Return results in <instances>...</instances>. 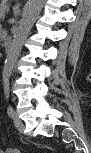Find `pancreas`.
Returning a JSON list of instances; mask_svg holds the SVG:
<instances>
[{"instance_id": "cf45deb5", "label": "pancreas", "mask_w": 91, "mask_h": 153, "mask_svg": "<svg viewBox=\"0 0 91 153\" xmlns=\"http://www.w3.org/2000/svg\"><path fill=\"white\" fill-rule=\"evenodd\" d=\"M8 10H9V6H8V5H3V6L1 7V14L5 13V12L8 11Z\"/></svg>"}]
</instances>
